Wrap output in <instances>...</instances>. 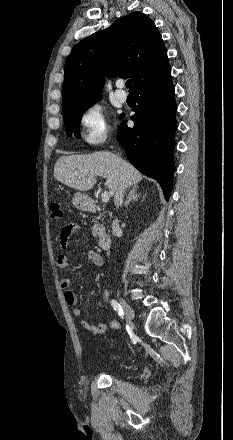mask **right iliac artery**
Returning a JSON list of instances; mask_svg holds the SVG:
<instances>
[{
    "mask_svg": "<svg viewBox=\"0 0 233 440\" xmlns=\"http://www.w3.org/2000/svg\"><path fill=\"white\" fill-rule=\"evenodd\" d=\"M111 305H112L113 309L118 312V314L120 316H123V314H124L123 309H122L121 305L116 300H111Z\"/></svg>",
    "mask_w": 233,
    "mask_h": 440,
    "instance_id": "82829eb1",
    "label": "right iliac artery"
}]
</instances>
